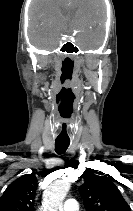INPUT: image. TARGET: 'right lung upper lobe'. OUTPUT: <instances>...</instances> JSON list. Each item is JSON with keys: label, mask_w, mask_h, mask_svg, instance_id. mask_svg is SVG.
<instances>
[{"label": "right lung upper lobe", "mask_w": 133, "mask_h": 211, "mask_svg": "<svg viewBox=\"0 0 133 211\" xmlns=\"http://www.w3.org/2000/svg\"><path fill=\"white\" fill-rule=\"evenodd\" d=\"M37 182L33 174L12 182L0 198V211H33Z\"/></svg>", "instance_id": "cb5924a9"}]
</instances>
